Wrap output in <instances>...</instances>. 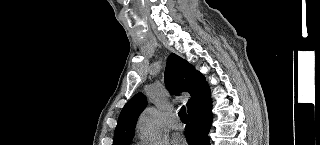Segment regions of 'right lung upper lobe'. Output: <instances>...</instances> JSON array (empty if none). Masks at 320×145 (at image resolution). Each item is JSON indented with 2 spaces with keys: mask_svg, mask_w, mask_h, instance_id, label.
<instances>
[{
  "mask_svg": "<svg viewBox=\"0 0 320 145\" xmlns=\"http://www.w3.org/2000/svg\"><path fill=\"white\" fill-rule=\"evenodd\" d=\"M165 83L176 93L189 92L188 111L198 104L208 90L204 76L186 60L172 53L168 57ZM147 103L145 95L138 93L123 107L116 127L113 145H127L134 137L135 122Z\"/></svg>",
  "mask_w": 320,
  "mask_h": 145,
  "instance_id": "cb5924a9",
  "label": "right lung upper lobe"
}]
</instances>
